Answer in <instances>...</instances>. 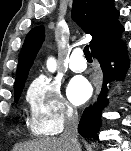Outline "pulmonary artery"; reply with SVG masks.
Masks as SVG:
<instances>
[{
	"mask_svg": "<svg viewBox=\"0 0 131 151\" xmlns=\"http://www.w3.org/2000/svg\"><path fill=\"white\" fill-rule=\"evenodd\" d=\"M87 67L86 61L83 58V52L81 49H75L69 60V68L76 73L83 72Z\"/></svg>",
	"mask_w": 131,
	"mask_h": 151,
	"instance_id": "pulmonary-artery-1",
	"label": "pulmonary artery"
}]
</instances>
